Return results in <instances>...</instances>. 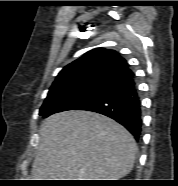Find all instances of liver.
I'll return each mask as SVG.
<instances>
[{
  "mask_svg": "<svg viewBox=\"0 0 178 186\" xmlns=\"http://www.w3.org/2000/svg\"><path fill=\"white\" fill-rule=\"evenodd\" d=\"M138 148L114 120L89 111H65L43 120L33 180H118L128 175Z\"/></svg>",
  "mask_w": 178,
  "mask_h": 186,
  "instance_id": "1",
  "label": "liver"
}]
</instances>
